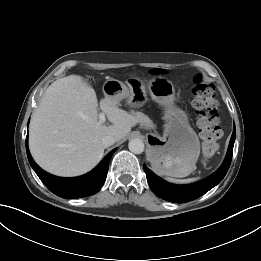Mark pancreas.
Wrapping results in <instances>:
<instances>
[{
  "mask_svg": "<svg viewBox=\"0 0 261 261\" xmlns=\"http://www.w3.org/2000/svg\"><path fill=\"white\" fill-rule=\"evenodd\" d=\"M135 115H136L137 118H139V120L142 123H144L146 125H150L151 124V120L147 116H145L143 113L137 112V113H135Z\"/></svg>",
  "mask_w": 261,
  "mask_h": 261,
  "instance_id": "obj_1",
  "label": "pancreas"
}]
</instances>
